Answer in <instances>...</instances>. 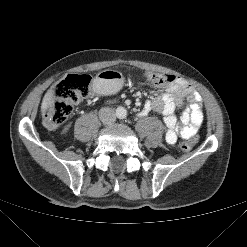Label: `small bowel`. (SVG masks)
I'll return each mask as SVG.
<instances>
[{"label": "small bowel", "mask_w": 247, "mask_h": 247, "mask_svg": "<svg viewBox=\"0 0 247 247\" xmlns=\"http://www.w3.org/2000/svg\"><path fill=\"white\" fill-rule=\"evenodd\" d=\"M188 98L189 104L184 103ZM176 109H181L177 116ZM151 111L162 114L166 125L165 140L174 144L178 138L189 139L193 137L203 121V107L200 95L183 79H177L167 91L158 97L147 100L142 109V115Z\"/></svg>", "instance_id": "obj_1"}]
</instances>
